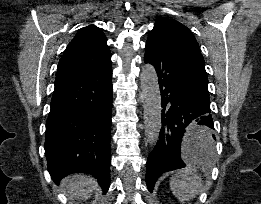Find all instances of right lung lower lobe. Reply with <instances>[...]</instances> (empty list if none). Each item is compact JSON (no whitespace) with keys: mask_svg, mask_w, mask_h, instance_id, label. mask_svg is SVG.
I'll list each match as a JSON object with an SVG mask.
<instances>
[{"mask_svg":"<svg viewBox=\"0 0 261 204\" xmlns=\"http://www.w3.org/2000/svg\"><path fill=\"white\" fill-rule=\"evenodd\" d=\"M111 60L89 72L55 80L46 122L45 154L55 183L76 172L110 184Z\"/></svg>","mask_w":261,"mask_h":204,"instance_id":"obj_1","label":"right lung lower lobe"}]
</instances>
